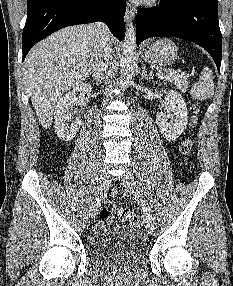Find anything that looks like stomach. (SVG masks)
<instances>
[{
    "mask_svg": "<svg viewBox=\"0 0 233 286\" xmlns=\"http://www.w3.org/2000/svg\"><path fill=\"white\" fill-rule=\"evenodd\" d=\"M143 58L148 63L170 65L177 59V47L170 39L162 38L145 48Z\"/></svg>",
    "mask_w": 233,
    "mask_h": 286,
    "instance_id": "1",
    "label": "stomach"
}]
</instances>
